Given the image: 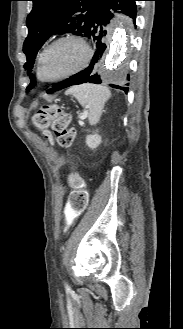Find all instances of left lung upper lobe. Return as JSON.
<instances>
[{"instance_id": "1", "label": "left lung upper lobe", "mask_w": 183, "mask_h": 329, "mask_svg": "<svg viewBox=\"0 0 183 329\" xmlns=\"http://www.w3.org/2000/svg\"><path fill=\"white\" fill-rule=\"evenodd\" d=\"M33 8L27 17L28 36L23 45L31 82L27 90L32 89L36 82L30 74L35 57L52 35L72 33L86 36L97 11L108 0H31Z\"/></svg>"}]
</instances>
